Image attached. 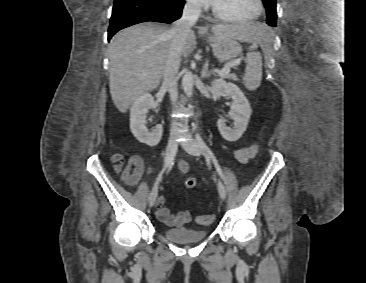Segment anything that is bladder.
Masks as SVG:
<instances>
[{
  "label": "bladder",
  "mask_w": 366,
  "mask_h": 283,
  "mask_svg": "<svg viewBox=\"0 0 366 283\" xmlns=\"http://www.w3.org/2000/svg\"><path fill=\"white\" fill-rule=\"evenodd\" d=\"M209 234L206 229H162V235L169 241L179 244L196 243L204 240Z\"/></svg>",
  "instance_id": "bladder-1"
}]
</instances>
